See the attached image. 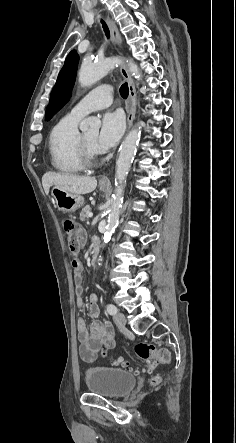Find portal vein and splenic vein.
Here are the masks:
<instances>
[{
    "mask_svg": "<svg viewBox=\"0 0 236 443\" xmlns=\"http://www.w3.org/2000/svg\"><path fill=\"white\" fill-rule=\"evenodd\" d=\"M92 216H93V213L90 212V213L88 214V217L91 218Z\"/></svg>",
    "mask_w": 236,
    "mask_h": 443,
    "instance_id": "portal-vein-and-splenic-vein-1",
    "label": "portal vein and splenic vein"
}]
</instances>
